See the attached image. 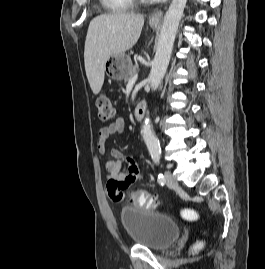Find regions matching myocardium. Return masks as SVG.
<instances>
[{"instance_id": "1", "label": "myocardium", "mask_w": 265, "mask_h": 269, "mask_svg": "<svg viewBox=\"0 0 265 269\" xmlns=\"http://www.w3.org/2000/svg\"><path fill=\"white\" fill-rule=\"evenodd\" d=\"M151 0H133V2H137V3H147Z\"/></svg>"}]
</instances>
